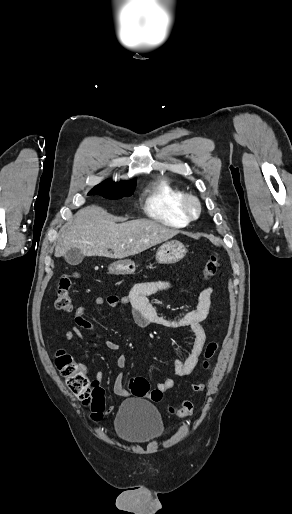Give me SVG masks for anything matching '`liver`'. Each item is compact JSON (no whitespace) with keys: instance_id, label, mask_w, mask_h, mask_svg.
Listing matches in <instances>:
<instances>
[{"instance_id":"obj_1","label":"liver","mask_w":292,"mask_h":514,"mask_svg":"<svg viewBox=\"0 0 292 514\" xmlns=\"http://www.w3.org/2000/svg\"><path fill=\"white\" fill-rule=\"evenodd\" d=\"M176 234L178 230H170L152 220L115 224L103 208L87 206L61 228L55 256L61 258L70 248H78L84 256L128 258L171 240Z\"/></svg>"}]
</instances>
